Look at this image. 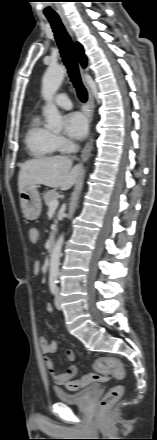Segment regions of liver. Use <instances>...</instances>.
Returning a JSON list of instances; mask_svg holds the SVG:
<instances>
[{
  "instance_id": "obj_1",
  "label": "liver",
  "mask_w": 157,
  "mask_h": 440,
  "mask_svg": "<svg viewBox=\"0 0 157 440\" xmlns=\"http://www.w3.org/2000/svg\"><path fill=\"white\" fill-rule=\"evenodd\" d=\"M82 166L72 167L67 156H53L33 159L21 165L18 177V190L35 185H45L61 190L70 189L80 177Z\"/></svg>"
}]
</instances>
